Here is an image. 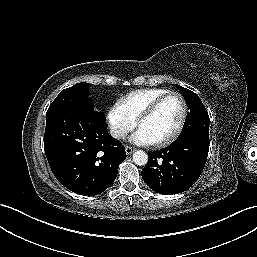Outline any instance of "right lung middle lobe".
<instances>
[{"mask_svg":"<svg viewBox=\"0 0 257 257\" xmlns=\"http://www.w3.org/2000/svg\"><path fill=\"white\" fill-rule=\"evenodd\" d=\"M88 95V84L77 83L70 88L62 90L52 102L47 112L65 107H77L90 110L94 112L96 116L105 121L103 113L94 111L93 103Z\"/></svg>","mask_w":257,"mask_h":257,"instance_id":"obj_1","label":"right lung middle lobe"}]
</instances>
